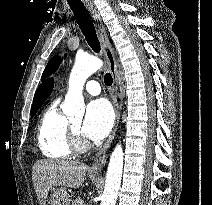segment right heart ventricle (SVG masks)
Returning <instances> with one entry per match:
<instances>
[{"instance_id": "1", "label": "right heart ventricle", "mask_w": 212, "mask_h": 205, "mask_svg": "<svg viewBox=\"0 0 212 205\" xmlns=\"http://www.w3.org/2000/svg\"><path fill=\"white\" fill-rule=\"evenodd\" d=\"M69 125L67 117L58 108V101L44 111L38 124L37 141L46 157L60 160L72 155Z\"/></svg>"}]
</instances>
